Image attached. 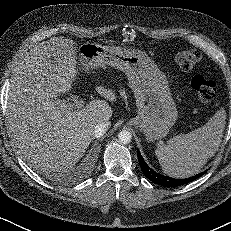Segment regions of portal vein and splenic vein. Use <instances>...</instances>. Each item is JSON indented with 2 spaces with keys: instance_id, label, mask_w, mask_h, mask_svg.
<instances>
[{
  "instance_id": "portal-vein-and-splenic-vein-1",
  "label": "portal vein and splenic vein",
  "mask_w": 231,
  "mask_h": 231,
  "mask_svg": "<svg viewBox=\"0 0 231 231\" xmlns=\"http://www.w3.org/2000/svg\"><path fill=\"white\" fill-rule=\"evenodd\" d=\"M84 100L73 99V103H60V107L65 110L82 109L84 107Z\"/></svg>"
}]
</instances>
